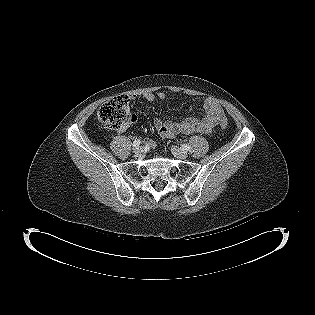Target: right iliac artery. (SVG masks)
<instances>
[{
  "mask_svg": "<svg viewBox=\"0 0 315 315\" xmlns=\"http://www.w3.org/2000/svg\"><path fill=\"white\" fill-rule=\"evenodd\" d=\"M140 143H141V141L140 140H135L134 142H133V147H138L139 145H140Z\"/></svg>",
  "mask_w": 315,
  "mask_h": 315,
  "instance_id": "right-iliac-artery-1",
  "label": "right iliac artery"
}]
</instances>
